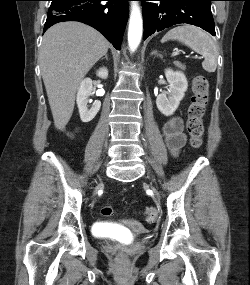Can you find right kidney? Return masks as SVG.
<instances>
[{
  "mask_svg": "<svg viewBox=\"0 0 250 285\" xmlns=\"http://www.w3.org/2000/svg\"><path fill=\"white\" fill-rule=\"evenodd\" d=\"M97 76L106 79L108 77L107 68H100L97 72ZM93 94L92 80L89 78L84 79L81 82L77 93V105L82 122L91 121L100 110L101 102L99 100H95L92 106L88 108L89 97Z\"/></svg>",
  "mask_w": 250,
  "mask_h": 285,
  "instance_id": "obj_1",
  "label": "right kidney"
}]
</instances>
